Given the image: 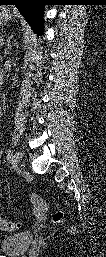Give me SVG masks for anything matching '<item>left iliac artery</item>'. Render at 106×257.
Returning a JSON list of instances; mask_svg holds the SVG:
<instances>
[{"label":"left iliac artery","instance_id":"left-iliac-artery-1","mask_svg":"<svg viewBox=\"0 0 106 257\" xmlns=\"http://www.w3.org/2000/svg\"><path fill=\"white\" fill-rule=\"evenodd\" d=\"M7 161L8 162H11L12 161V159H13V152L9 149L8 150V153H7Z\"/></svg>","mask_w":106,"mask_h":257}]
</instances>
